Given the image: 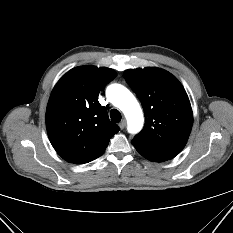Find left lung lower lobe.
<instances>
[{
    "mask_svg": "<svg viewBox=\"0 0 233 233\" xmlns=\"http://www.w3.org/2000/svg\"><path fill=\"white\" fill-rule=\"evenodd\" d=\"M132 144L143 157L153 162H163L170 160L180 153V150L157 149L142 146L136 143Z\"/></svg>",
    "mask_w": 233,
    "mask_h": 233,
    "instance_id": "obj_1",
    "label": "left lung lower lobe"
}]
</instances>
